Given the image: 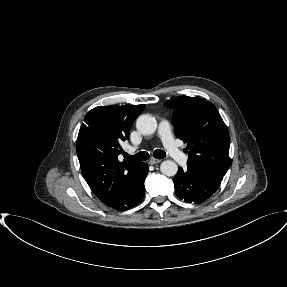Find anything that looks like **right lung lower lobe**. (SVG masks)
Listing matches in <instances>:
<instances>
[{"mask_svg": "<svg viewBox=\"0 0 287 287\" xmlns=\"http://www.w3.org/2000/svg\"><path fill=\"white\" fill-rule=\"evenodd\" d=\"M147 174V164L141 163L136 174L129 179L127 185L121 190L119 195L107 204V206L116 210H128L136 206L144 196V181Z\"/></svg>", "mask_w": 287, "mask_h": 287, "instance_id": "98d812e1", "label": "right lung lower lobe"}]
</instances>
